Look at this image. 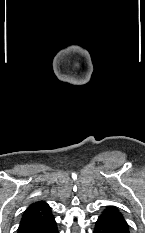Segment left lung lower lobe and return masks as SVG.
Here are the masks:
<instances>
[{"instance_id":"left-lung-lower-lobe-1","label":"left lung lower lobe","mask_w":145,"mask_h":233,"mask_svg":"<svg viewBox=\"0 0 145 233\" xmlns=\"http://www.w3.org/2000/svg\"><path fill=\"white\" fill-rule=\"evenodd\" d=\"M93 233H120L119 231L114 230L108 224L97 220Z\"/></svg>"}]
</instances>
